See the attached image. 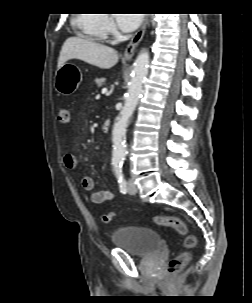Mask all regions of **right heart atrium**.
Returning <instances> with one entry per match:
<instances>
[{
  "label": "right heart atrium",
  "instance_id": "right-heart-atrium-1",
  "mask_svg": "<svg viewBox=\"0 0 252 303\" xmlns=\"http://www.w3.org/2000/svg\"><path fill=\"white\" fill-rule=\"evenodd\" d=\"M101 27L105 34H112L115 31L114 23L112 19L107 15L103 16Z\"/></svg>",
  "mask_w": 252,
  "mask_h": 303
}]
</instances>
